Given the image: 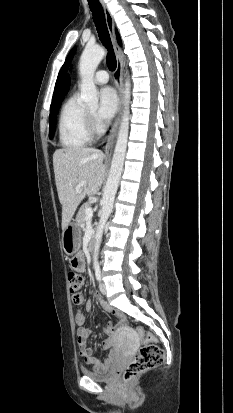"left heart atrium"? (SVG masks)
Here are the masks:
<instances>
[{"label":"left heart atrium","instance_id":"left-heart-atrium-1","mask_svg":"<svg viewBox=\"0 0 233 413\" xmlns=\"http://www.w3.org/2000/svg\"><path fill=\"white\" fill-rule=\"evenodd\" d=\"M118 108V98L116 92L111 87H105L100 92V104L98 109V118L106 122L116 113Z\"/></svg>","mask_w":233,"mask_h":413}]
</instances>
